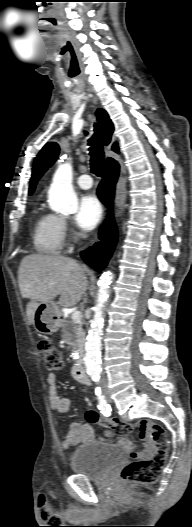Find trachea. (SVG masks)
Returning <instances> with one entry per match:
<instances>
[{
    "label": "trachea",
    "mask_w": 192,
    "mask_h": 527,
    "mask_svg": "<svg viewBox=\"0 0 192 527\" xmlns=\"http://www.w3.org/2000/svg\"><path fill=\"white\" fill-rule=\"evenodd\" d=\"M89 145L91 147L90 150V165H91V171L97 176H101L102 172V166L104 162V152H103V146L101 143V139L97 130V126L94 125V134L89 139Z\"/></svg>",
    "instance_id": "1"
}]
</instances>
